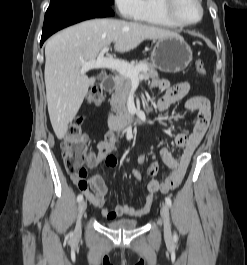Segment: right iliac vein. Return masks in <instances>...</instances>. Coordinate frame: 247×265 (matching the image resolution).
<instances>
[{
  "mask_svg": "<svg viewBox=\"0 0 247 265\" xmlns=\"http://www.w3.org/2000/svg\"><path fill=\"white\" fill-rule=\"evenodd\" d=\"M86 208H87L86 201H81L78 206V216H77V222H76V228H75V232L77 235L80 234L81 232V218L84 212L86 211Z\"/></svg>",
  "mask_w": 247,
  "mask_h": 265,
  "instance_id": "63e3f726",
  "label": "right iliac vein"
}]
</instances>
